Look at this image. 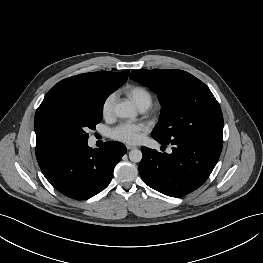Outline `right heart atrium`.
<instances>
[{
  "label": "right heart atrium",
  "mask_w": 263,
  "mask_h": 263,
  "mask_svg": "<svg viewBox=\"0 0 263 263\" xmlns=\"http://www.w3.org/2000/svg\"><path fill=\"white\" fill-rule=\"evenodd\" d=\"M115 95H107L101 104V114L104 118H111L114 110Z\"/></svg>",
  "instance_id": "1"
}]
</instances>
